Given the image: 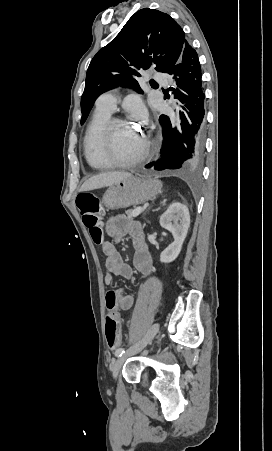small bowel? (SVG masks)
Here are the masks:
<instances>
[{
	"label": "small bowel",
	"instance_id": "c3829d8e",
	"mask_svg": "<svg viewBox=\"0 0 272 451\" xmlns=\"http://www.w3.org/2000/svg\"><path fill=\"white\" fill-rule=\"evenodd\" d=\"M105 231L111 239L102 243V252L105 256V265L107 268V272L104 275V282L106 284H111L113 275L132 278L134 271L140 272L144 276L154 274L155 266L145 239L144 229L140 222L127 218L124 215H116L106 223ZM125 236H129L131 239L133 268L123 261L120 252L115 246ZM105 302L107 309L119 319V312L131 309L134 299L124 290L118 289L108 291Z\"/></svg>",
	"mask_w": 272,
	"mask_h": 451
}]
</instances>
